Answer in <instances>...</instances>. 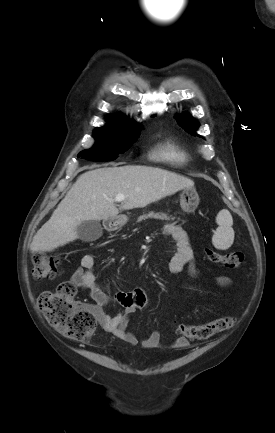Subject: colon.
<instances>
[{
	"label": "colon",
	"mask_w": 275,
	"mask_h": 433,
	"mask_svg": "<svg viewBox=\"0 0 275 433\" xmlns=\"http://www.w3.org/2000/svg\"><path fill=\"white\" fill-rule=\"evenodd\" d=\"M205 253L210 262L223 264L228 268H238L244 262V256L240 252L218 253L206 249ZM58 273V259L42 253L33 256L34 278L49 279ZM75 297L76 288L70 283H62L53 291L43 292L38 304L46 320L59 332L68 338L85 341L92 336L96 323L92 313L84 304L77 302ZM233 325L234 319L224 316L197 325L180 323L176 326V331L187 340H208L231 329Z\"/></svg>",
	"instance_id": "colon-1"
}]
</instances>
